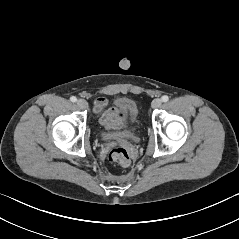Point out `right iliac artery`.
Instances as JSON below:
<instances>
[{
    "label": "right iliac artery",
    "instance_id": "obj_1",
    "mask_svg": "<svg viewBox=\"0 0 239 239\" xmlns=\"http://www.w3.org/2000/svg\"><path fill=\"white\" fill-rule=\"evenodd\" d=\"M70 100H71L72 102H76V101H77V98L74 97V96H72V97L70 98Z\"/></svg>",
    "mask_w": 239,
    "mask_h": 239
}]
</instances>
